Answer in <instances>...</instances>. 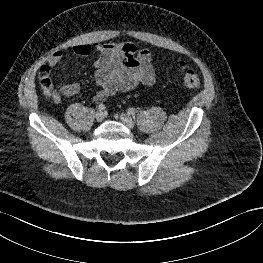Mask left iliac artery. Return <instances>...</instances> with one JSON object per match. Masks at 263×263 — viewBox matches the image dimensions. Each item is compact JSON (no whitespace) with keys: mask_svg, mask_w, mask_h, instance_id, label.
<instances>
[{"mask_svg":"<svg viewBox=\"0 0 263 263\" xmlns=\"http://www.w3.org/2000/svg\"><path fill=\"white\" fill-rule=\"evenodd\" d=\"M129 113L134 115L136 113V109L135 108H129Z\"/></svg>","mask_w":263,"mask_h":263,"instance_id":"obj_1","label":"left iliac artery"}]
</instances>
